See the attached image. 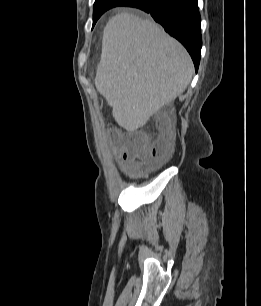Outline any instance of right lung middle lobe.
<instances>
[{
    "instance_id": "obj_1",
    "label": "right lung middle lobe",
    "mask_w": 261,
    "mask_h": 306,
    "mask_svg": "<svg viewBox=\"0 0 261 306\" xmlns=\"http://www.w3.org/2000/svg\"><path fill=\"white\" fill-rule=\"evenodd\" d=\"M127 1L128 0H106V1H101L99 3L94 4V7H93V26L105 11H107V10L113 8V7H116V6H122Z\"/></svg>"
}]
</instances>
